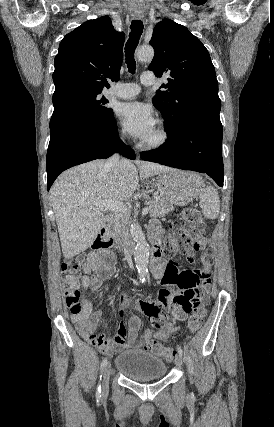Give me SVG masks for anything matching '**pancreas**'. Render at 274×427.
Instances as JSON below:
<instances>
[{"label": "pancreas", "instance_id": "pancreas-1", "mask_svg": "<svg viewBox=\"0 0 274 427\" xmlns=\"http://www.w3.org/2000/svg\"><path fill=\"white\" fill-rule=\"evenodd\" d=\"M145 206L150 210V217H164V215L173 210L171 202H168L166 198H161V196H155L153 200H146ZM129 217V210L114 214L113 217H111L113 223H110V225L106 227L105 235L113 237L115 241H121L123 237H129Z\"/></svg>", "mask_w": 274, "mask_h": 427}]
</instances>
